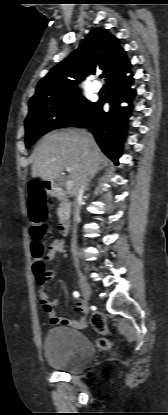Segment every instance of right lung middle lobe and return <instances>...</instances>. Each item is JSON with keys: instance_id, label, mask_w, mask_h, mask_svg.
<instances>
[{"instance_id": "right-lung-middle-lobe-1", "label": "right lung middle lobe", "mask_w": 168, "mask_h": 415, "mask_svg": "<svg viewBox=\"0 0 168 415\" xmlns=\"http://www.w3.org/2000/svg\"><path fill=\"white\" fill-rule=\"evenodd\" d=\"M93 105L94 103L88 102L80 92H76L30 109L25 119L26 147L29 148L51 130L69 127L83 117Z\"/></svg>"}]
</instances>
